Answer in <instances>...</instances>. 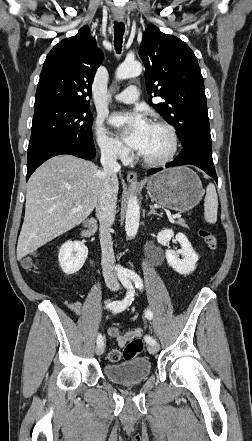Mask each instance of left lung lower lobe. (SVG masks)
Wrapping results in <instances>:
<instances>
[{"instance_id": "0a47b994", "label": "left lung lower lobe", "mask_w": 252, "mask_h": 441, "mask_svg": "<svg viewBox=\"0 0 252 441\" xmlns=\"http://www.w3.org/2000/svg\"><path fill=\"white\" fill-rule=\"evenodd\" d=\"M195 165L205 171L217 182V175L215 172L212 159V144L211 139L205 137H197L185 146H183L180 154L170 163L166 164L165 168L181 165ZM163 168L151 169L148 175L154 174Z\"/></svg>"}]
</instances>
